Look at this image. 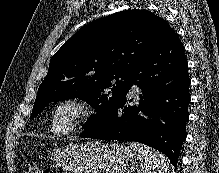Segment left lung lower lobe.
Listing matches in <instances>:
<instances>
[{
  "label": "left lung lower lobe",
  "mask_w": 219,
  "mask_h": 173,
  "mask_svg": "<svg viewBox=\"0 0 219 173\" xmlns=\"http://www.w3.org/2000/svg\"><path fill=\"white\" fill-rule=\"evenodd\" d=\"M187 69L183 44L173 30L132 71V85L143 93L139 104H130L126 95L103 126L80 137L141 142L164 153L176 169L189 117Z\"/></svg>",
  "instance_id": "1"
}]
</instances>
